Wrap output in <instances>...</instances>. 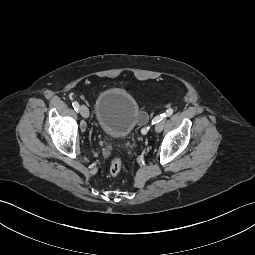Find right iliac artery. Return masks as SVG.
Returning <instances> with one entry per match:
<instances>
[{"mask_svg": "<svg viewBox=\"0 0 255 255\" xmlns=\"http://www.w3.org/2000/svg\"><path fill=\"white\" fill-rule=\"evenodd\" d=\"M72 105H73L74 110L78 112V110H79V103L77 101H74L72 103Z\"/></svg>", "mask_w": 255, "mask_h": 255, "instance_id": "right-iliac-artery-1", "label": "right iliac artery"}]
</instances>
